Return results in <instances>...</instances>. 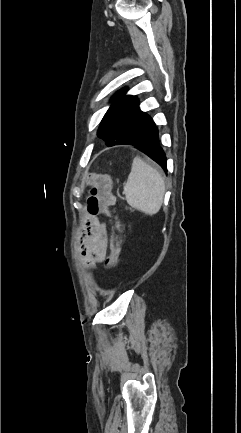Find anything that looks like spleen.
<instances>
[{
	"label": "spleen",
	"mask_w": 241,
	"mask_h": 433,
	"mask_svg": "<svg viewBox=\"0 0 241 433\" xmlns=\"http://www.w3.org/2000/svg\"><path fill=\"white\" fill-rule=\"evenodd\" d=\"M124 194L131 207L152 216L157 214L162 206L165 182L154 167L140 157H135L124 185Z\"/></svg>",
	"instance_id": "3e777b00"
}]
</instances>
